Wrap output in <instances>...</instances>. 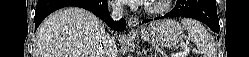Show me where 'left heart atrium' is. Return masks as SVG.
Wrapping results in <instances>:
<instances>
[{
	"mask_svg": "<svg viewBox=\"0 0 249 57\" xmlns=\"http://www.w3.org/2000/svg\"><path fill=\"white\" fill-rule=\"evenodd\" d=\"M128 2L134 4H147L150 2V0H128Z\"/></svg>",
	"mask_w": 249,
	"mask_h": 57,
	"instance_id": "39dd6f15",
	"label": "left heart atrium"
}]
</instances>
